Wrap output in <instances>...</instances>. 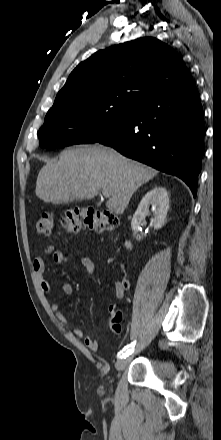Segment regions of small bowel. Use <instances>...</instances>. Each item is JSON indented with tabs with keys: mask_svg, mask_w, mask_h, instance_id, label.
Returning a JSON list of instances; mask_svg holds the SVG:
<instances>
[{
	"mask_svg": "<svg viewBox=\"0 0 221 440\" xmlns=\"http://www.w3.org/2000/svg\"><path fill=\"white\" fill-rule=\"evenodd\" d=\"M45 253L52 256V259L57 264H64L68 261V257L60 250H57L54 248V246L49 245L45 248ZM77 261L84 267L86 272L88 274H92L95 270V264L94 262L86 256H78ZM33 272L36 275L38 279V283L42 291L46 294H49L51 292V286L50 284L43 278V274L45 272V261L41 256L35 257L32 263ZM128 289V281L127 280H121L115 283V293L118 298H123L125 295V291ZM61 292L66 295L70 296L74 292L73 285L69 282H65L61 285ZM51 310L55 313V316L57 320L65 324L68 322L67 316L60 311L59 305L57 303H54L51 305ZM118 310V305L115 303H112L108 306V313L110 318L113 317L115 312ZM74 336L78 338H83V342L87 348H89L92 351H96L99 348V343L96 339L92 338L91 336H84V332L81 328L75 327L72 330Z\"/></svg>",
	"mask_w": 221,
	"mask_h": 440,
	"instance_id": "small-bowel-1",
	"label": "small bowel"
}]
</instances>
